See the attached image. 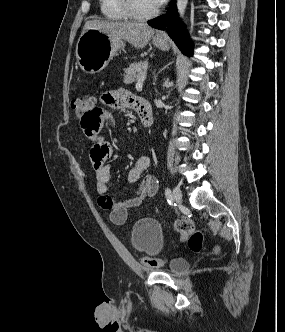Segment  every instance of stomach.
<instances>
[{
  "label": "stomach",
  "mask_w": 285,
  "mask_h": 332,
  "mask_svg": "<svg viewBox=\"0 0 285 332\" xmlns=\"http://www.w3.org/2000/svg\"><path fill=\"white\" fill-rule=\"evenodd\" d=\"M152 43L162 50L170 48L168 40L163 37H153ZM124 45L120 38L109 36L96 29H88L81 34L77 42V63L85 73L97 74L108 65Z\"/></svg>",
  "instance_id": "0dacf381"
}]
</instances>
